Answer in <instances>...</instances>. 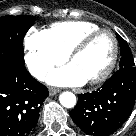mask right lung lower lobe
<instances>
[{"label": "right lung lower lobe", "mask_w": 136, "mask_h": 136, "mask_svg": "<svg viewBox=\"0 0 136 136\" xmlns=\"http://www.w3.org/2000/svg\"><path fill=\"white\" fill-rule=\"evenodd\" d=\"M47 96L24 66H0V136H28Z\"/></svg>", "instance_id": "right-lung-lower-lobe-1"}]
</instances>
